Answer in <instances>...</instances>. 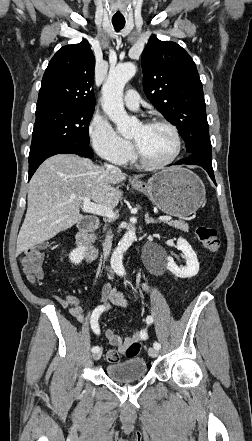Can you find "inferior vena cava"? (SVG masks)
Masks as SVG:
<instances>
[{
    "mask_svg": "<svg viewBox=\"0 0 252 441\" xmlns=\"http://www.w3.org/2000/svg\"><path fill=\"white\" fill-rule=\"evenodd\" d=\"M105 167H106V169L108 171L120 172V169L115 167V166H113V165L105 164ZM112 238H113V235H112V231L110 229V230L107 231L105 240L103 242V256H104V259H107L108 256L110 255L111 247H112Z\"/></svg>",
    "mask_w": 252,
    "mask_h": 441,
    "instance_id": "602c4592",
    "label": "inferior vena cava"
}]
</instances>
